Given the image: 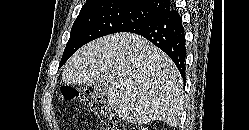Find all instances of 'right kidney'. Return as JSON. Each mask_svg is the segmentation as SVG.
<instances>
[{"label":"right kidney","instance_id":"right-kidney-1","mask_svg":"<svg viewBox=\"0 0 249 130\" xmlns=\"http://www.w3.org/2000/svg\"><path fill=\"white\" fill-rule=\"evenodd\" d=\"M141 130H146V128H142Z\"/></svg>","mask_w":249,"mask_h":130}]
</instances>
